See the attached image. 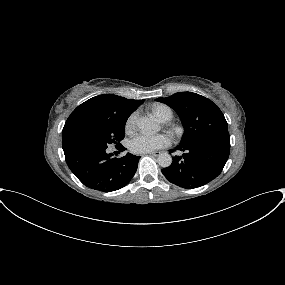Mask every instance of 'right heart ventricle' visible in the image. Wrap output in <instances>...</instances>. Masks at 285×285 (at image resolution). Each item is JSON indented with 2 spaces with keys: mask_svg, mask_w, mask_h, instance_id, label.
I'll use <instances>...</instances> for the list:
<instances>
[{
  "mask_svg": "<svg viewBox=\"0 0 285 285\" xmlns=\"http://www.w3.org/2000/svg\"><path fill=\"white\" fill-rule=\"evenodd\" d=\"M150 110L161 121H168L174 115L172 108L165 104H154Z\"/></svg>",
  "mask_w": 285,
  "mask_h": 285,
  "instance_id": "obj_1",
  "label": "right heart ventricle"
}]
</instances>
